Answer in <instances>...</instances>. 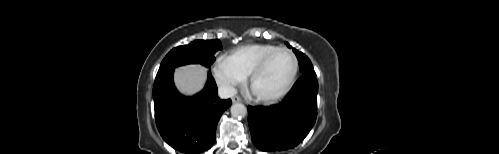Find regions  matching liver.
Returning <instances> with one entry per match:
<instances>
[{
  "label": "liver",
  "instance_id": "1",
  "mask_svg": "<svg viewBox=\"0 0 499 154\" xmlns=\"http://www.w3.org/2000/svg\"><path fill=\"white\" fill-rule=\"evenodd\" d=\"M206 78V68L198 64L185 65L175 69V85L186 96L198 93L204 87Z\"/></svg>",
  "mask_w": 499,
  "mask_h": 154
}]
</instances>
